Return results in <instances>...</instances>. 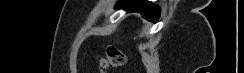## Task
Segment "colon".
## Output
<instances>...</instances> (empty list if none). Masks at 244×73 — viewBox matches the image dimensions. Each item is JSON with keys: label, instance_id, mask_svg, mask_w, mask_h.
I'll return each mask as SVG.
<instances>
[{"label": "colon", "instance_id": "5ec220e1", "mask_svg": "<svg viewBox=\"0 0 244 73\" xmlns=\"http://www.w3.org/2000/svg\"><path fill=\"white\" fill-rule=\"evenodd\" d=\"M97 61L100 71L105 73L108 69L123 66L126 62V55L116 45L106 44L104 54L98 56Z\"/></svg>", "mask_w": 244, "mask_h": 73}]
</instances>
